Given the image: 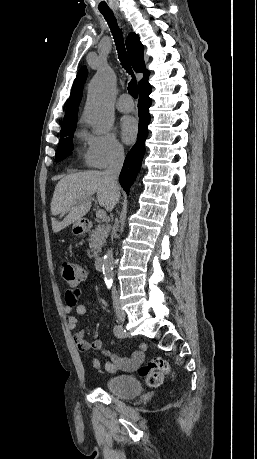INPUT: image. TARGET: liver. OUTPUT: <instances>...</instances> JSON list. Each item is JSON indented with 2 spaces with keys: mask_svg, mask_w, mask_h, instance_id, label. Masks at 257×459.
<instances>
[{
  "mask_svg": "<svg viewBox=\"0 0 257 459\" xmlns=\"http://www.w3.org/2000/svg\"><path fill=\"white\" fill-rule=\"evenodd\" d=\"M96 193L101 207L111 212L120 198L115 192L105 172L91 170L65 176L56 185L51 201L53 216L66 214L62 221L52 218V230L57 233L70 224L81 221L90 210L92 196Z\"/></svg>",
  "mask_w": 257,
  "mask_h": 459,
  "instance_id": "6515ba94",
  "label": "liver"
}]
</instances>
